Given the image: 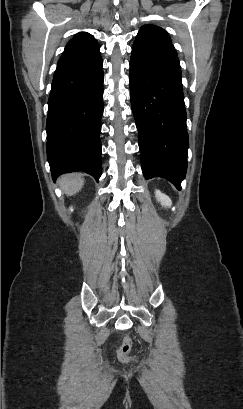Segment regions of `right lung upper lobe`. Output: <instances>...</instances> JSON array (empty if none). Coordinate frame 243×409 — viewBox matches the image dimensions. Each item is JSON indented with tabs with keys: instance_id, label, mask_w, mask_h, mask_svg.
<instances>
[{
	"instance_id": "1",
	"label": "right lung upper lobe",
	"mask_w": 243,
	"mask_h": 409,
	"mask_svg": "<svg viewBox=\"0 0 243 409\" xmlns=\"http://www.w3.org/2000/svg\"><path fill=\"white\" fill-rule=\"evenodd\" d=\"M97 40L89 33H77L66 45L65 50L59 61L70 58L98 46Z\"/></svg>"
}]
</instances>
